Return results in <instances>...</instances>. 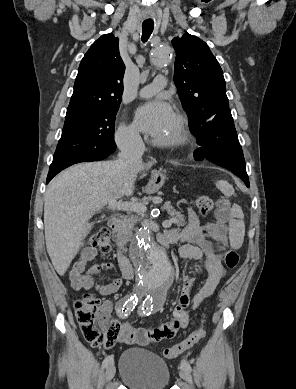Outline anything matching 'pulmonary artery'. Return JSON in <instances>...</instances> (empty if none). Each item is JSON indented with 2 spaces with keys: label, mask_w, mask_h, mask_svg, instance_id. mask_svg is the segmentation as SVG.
<instances>
[{
  "label": "pulmonary artery",
  "mask_w": 296,
  "mask_h": 389,
  "mask_svg": "<svg viewBox=\"0 0 296 389\" xmlns=\"http://www.w3.org/2000/svg\"><path fill=\"white\" fill-rule=\"evenodd\" d=\"M166 85V78L162 75L156 76L154 81L139 91V96L143 98L151 97L162 90Z\"/></svg>",
  "instance_id": "obj_1"
}]
</instances>
